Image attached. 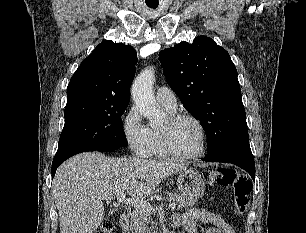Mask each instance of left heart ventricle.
Segmentation results:
<instances>
[{"label": "left heart ventricle", "mask_w": 306, "mask_h": 233, "mask_svg": "<svg viewBox=\"0 0 306 233\" xmlns=\"http://www.w3.org/2000/svg\"><path fill=\"white\" fill-rule=\"evenodd\" d=\"M168 126V120L162 128ZM171 139L174 147L186 154L196 153L201 148V133L197 125L191 120H182L171 129Z\"/></svg>", "instance_id": "left-heart-ventricle-1"}]
</instances>
